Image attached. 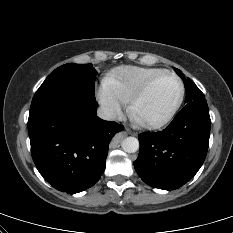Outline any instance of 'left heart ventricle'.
<instances>
[{
    "mask_svg": "<svg viewBox=\"0 0 233 233\" xmlns=\"http://www.w3.org/2000/svg\"><path fill=\"white\" fill-rule=\"evenodd\" d=\"M178 81L169 75L159 78L134 108V116L143 122L164 117L178 99Z\"/></svg>",
    "mask_w": 233,
    "mask_h": 233,
    "instance_id": "left-heart-ventricle-1",
    "label": "left heart ventricle"
}]
</instances>
